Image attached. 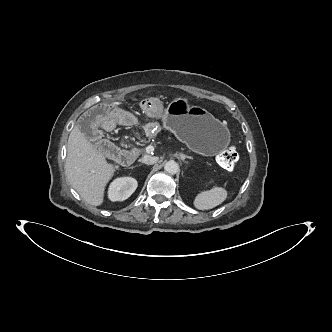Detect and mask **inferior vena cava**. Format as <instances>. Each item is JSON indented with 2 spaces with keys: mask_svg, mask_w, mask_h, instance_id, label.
Listing matches in <instances>:
<instances>
[{
  "mask_svg": "<svg viewBox=\"0 0 332 332\" xmlns=\"http://www.w3.org/2000/svg\"><path fill=\"white\" fill-rule=\"evenodd\" d=\"M158 157L155 156H150V155H145L142 158V162L147 165H153L158 161Z\"/></svg>",
  "mask_w": 332,
  "mask_h": 332,
  "instance_id": "602c4592",
  "label": "inferior vena cava"
}]
</instances>
